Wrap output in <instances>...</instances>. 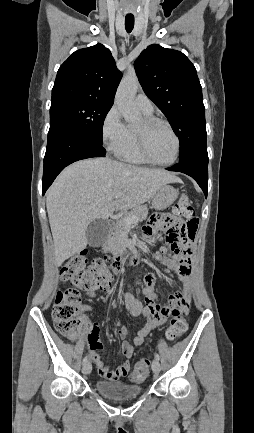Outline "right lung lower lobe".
<instances>
[{
	"instance_id": "98d812e1",
	"label": "right lung lower lobe",
	"mask_w": 254,
	"mask_h": 433,
	"mask_svg": "<svg viewBox=\"0 0 254 433\" xmlns=\"http://www.w3.org/2000/svg\"><path fill=\"white\" fill-rule=\"evenodd\" d=\"M106 150L101 144L64 126H54L48 133L42 194L52 184L56 176L69 164L91 157H104Z\"/></svg>"
}]
</instances>
